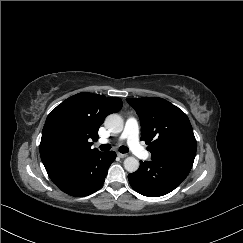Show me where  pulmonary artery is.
I'll use <instances>...</instances> for the list:
<instances>
[{"label":"pulmonary artery","mask_w":243,"mask_h":243,"mask_svg":"<svg viewBox=\"0 0 243 243\" xmlns=\"http://www.w3.org/2000/svg\"><path fill=\"white\" fill-rule=\"evenodd\" d=\"M125 140L130 147L132 153L136 155L138 158L143 160H148L150 158V154L146 151L139 141V122L136 118L130 117L126 120L123 132L117 139V141ZM113 140L109 139H100L99 143L106 144L111 143Z\"/></svg>","instance_id":"pulmonary-artery-1"}]
</instances>
